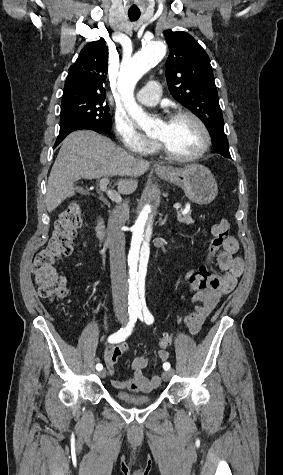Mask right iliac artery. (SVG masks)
I'll return each instance as SVG.
<instances>
[{
	"mask_svg": "<svg viewBox=\"0 0 283 475\" xmlns=\"http://www.w3.org/2000/svg\"><path fill=\"white\" fill-rule=\"evenodd\" d=\"M137 313L136 312H133V313H130V317H129V322L127 324V326L125 328H121L118 332L112 334L111 336H109L108 338V342L110 343H119L121 341H125V339L131 334L132 330H133V327H134V324L137 320ZM96 369L98 371L102 370L103 369V366L102 364H97L96 365Z\"/></svg>",
	"mask_w": 283,
	"mask_h": 475,
	"instance_id": "obj_1",
	"label": "right iliac artery"
}]
</instances>
